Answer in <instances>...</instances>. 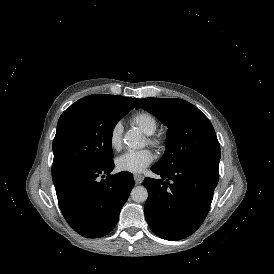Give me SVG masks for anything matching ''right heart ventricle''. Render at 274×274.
I'll return each instance as SVG.
<instances>
[{
  "label": "right heart ventricle",
  "instance_id": "e07e8e85",
  "mask_svg": "<svg viewBox=\"0 0 274 274\" xmlns=\"http://www.w3.org/2000/svg\"><path fill=\"white\" fill-rule=\"evenodd\" d=\"M132 122L146 135H152L157 130V122L155 118L148 114L142 113L132 118Z\"/></svg>",
  "mask_w": 274,
  "mask_h": 274
}]
</instances>
